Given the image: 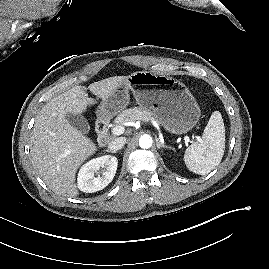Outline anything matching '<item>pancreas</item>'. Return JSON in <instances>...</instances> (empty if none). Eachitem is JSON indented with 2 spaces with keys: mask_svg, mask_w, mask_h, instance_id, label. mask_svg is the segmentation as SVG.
Here are the masks:
<instances>
[{
  "mask_svg": "<svg viewBox=\"0 0 269 269\" xmlns=\"http://www.w3.org/2000/svg\"><path fill=\"white\" fill-rule=\"evenodd\" d=\"M142 120L149 122L154 120L152 113L146 109L133 107L122 111L114 121L115 126H120L124 123Z\"/></svg>",
  "mask_w": 269,
  "mask_h": 269,
  "instance_id": "obj_1",
  "label": "pancreas"
}]
</instances>
